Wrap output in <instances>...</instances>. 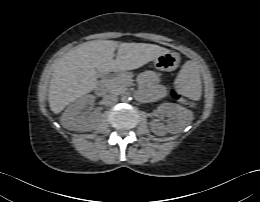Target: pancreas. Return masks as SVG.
Here are the masks:
<instances>
[{
  "label": "pancreas",
  "mask_w": 260,
  "mask_h": 202,
  "mask_svg": "<svg viewBox=\"0 0 260 202\" xmlns=\"http://www.w3.org/2000/svg\"><path fill=\"white\" fill-rule=\"evenodd\" d=\"M132 79L131 73H125L113 81L105 83L107 91L113 93H121L126 90L128 81Z\"/></svg>",
  "instance_id": "1"
}]
</instances>
